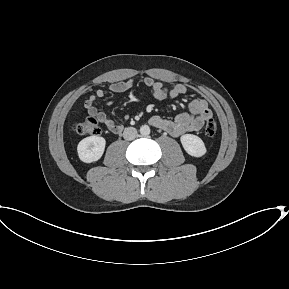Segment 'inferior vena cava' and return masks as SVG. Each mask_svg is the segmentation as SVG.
Returning a JSON list of instances; mask_svg holds the SVG:
<instances>
[{"label": "inferior vena cava", "mask_w": 289, "mask_h": 289, "mask_svg": "<svg viewBox=\"0 0 289 289\" xmlns=\"http://www.w3.org/2000/svg\"><path fill=\"white\" fill-rule=\"evenodd\" d=\"M123 137L125 140H133L137 137V130L134 127H127L123 131Z\"/></svg>", "instance_id": "obj_1"}]
</instances>
